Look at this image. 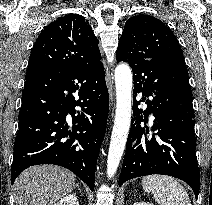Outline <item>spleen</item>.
Returning a JSON list of instances; mask_svg holds the SVG:
<instances>
[{"instance_id": "spleen-1", "label": "spleen", "mask_w": 212, "mask_h": 205, "mask_svg": "<svg viewBox=\"0 0 212 205\" xmlns=\"http://www.w3.org/2000/svg\"><path fill=\"white\" fill-rule=\"evenodd\" d=\"M142 186L145 192L154 196L159 205H191L187 191L171 176H145Z\"/></svg>"}]
</instances>
